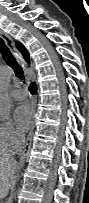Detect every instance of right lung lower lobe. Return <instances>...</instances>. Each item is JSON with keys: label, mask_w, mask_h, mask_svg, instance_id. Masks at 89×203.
Listing matches in <instances>:
<instances>
[{"label": "right lung lower lobe", "mask_w": 89, "mask_h": 203, "mask_svg": "<svg viewBox=\"0 0 89 203\" xmlns=\"http://www.w3.org/2000/svg\"><path fill=\"white\" fill-rule=\"evenodd\" d=\"M30 90H31L32 93H35V92H36V84H35V83H32V84H31Z\"/></svg>", "instance_id": "right-lung-lower-lobe-1"}]
</instances>
